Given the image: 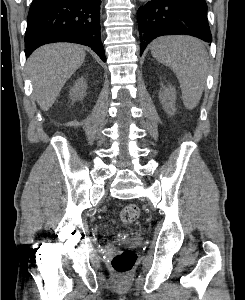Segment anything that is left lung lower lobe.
I'll use <instances>...</instances> for the list:
<instances>
[{"label":"left lung lower lobe","mask_w":245,"mask_h":300,"mask_svg":"<svg viewBox=\"0 0 245 300\" xmlns=\"http://www.w3.org/2000/svg\"><path fill=\"white\" fill-rule=\"evenodd\" d=\"M140 55L162 35L186 34L212 42L205 0H151L138 9Z\"/></svg>","instance_id":"left-lung-lower-lobe-1"}]
</instances>
